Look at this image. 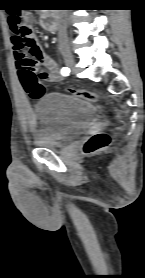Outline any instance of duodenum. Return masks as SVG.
<instances>
[{"mask_svg": "<svg viewBox=\"0 0 145 278\" xmlns=\"http://www.w3.org/2000/svg\"><path fill=\"white\" fill-rule=\"evenodd\" d=\"M40 21L43 27H45L50 33L57 32L58 23L52 14H45L41 17Z\"/></svg>", "mask_w": 145, "mask_h": 278, "instance_id": "410a0bca", "label": "duodenum"}]
</instances>
